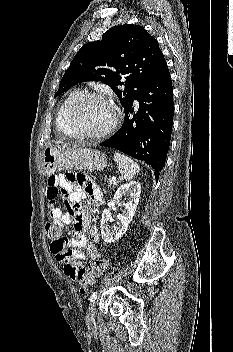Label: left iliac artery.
I'll return each instance as SVG.
<instances>
[{
    "mask_svg": "<svg viewBox=\"0 0 233 352\" xmlns=\"http://www.w3.org/2000/svg\"><path fill=\"white\" fill-rule=\"evenodd\" d=\"M97 296H98V292L97 291L93 292L91 297H90V301L91 302L95 301L97 299Z\"/></svg>",
    "mask_w": 233,
    "mask_h": 352,
    "instance_id": "1",
    "label": "left iliac artery"
}]
</instances>
